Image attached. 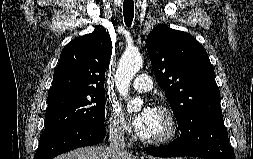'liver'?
<instances>
[{
    "instance_id": "6515ba94",
    "label": "liver",
    "mask_w": 253,
    "mask_h": 159,
    "mask_svg": "<svg viewBox=\"0 0 253 159\" xmlns=\"http://www.w3.org/2000/svg\"><path fill=\"white\" fill-rule=\"evenodd\" d=\"M54 159H139L137 156L126 152L113 153L107 146H87L72 150Z\"/></svg>"
}]
</instances>
